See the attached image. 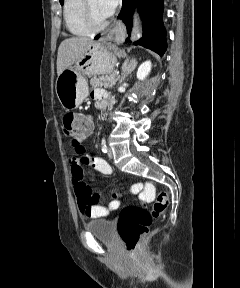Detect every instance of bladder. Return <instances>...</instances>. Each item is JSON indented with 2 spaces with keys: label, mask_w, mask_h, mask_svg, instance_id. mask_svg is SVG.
<instances>
[{
  "label": "bladder",
  "mask_w": 240,
  "mask_h": 288,
  "mask_svg": "<svg viewBox=\"0 0 240 288\" xmlns=\"http://www.w3.org/2000/svg\"><path fill=\"white\" fill-rule=\"evenodd\" d=\"M87 232L106 243L115 242V225L111 220L98 219L84 225Z\"/></svg>",
  "instance_id": "bladder-1"
}]
</instances>
